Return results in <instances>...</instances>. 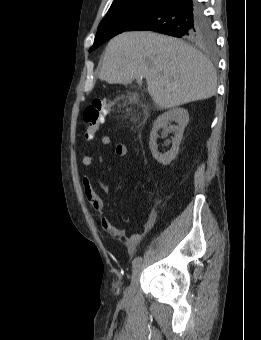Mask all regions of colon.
<instances>
[{
    "mask_svg": "<svg viewBox=\"0 0 261 340\" xmlns=\"http://www.w3.org/2000/svg\"><path fill=\"white\" fill-rule=\"evenodd\" d=\"M110 107V104L107 102L98 100L84 109L85 136L88 140L94 137L105 115L109 112Z\"/></svg>",
    "mask_w": 261,
    "mask_h": 340,
    "instance_id": "1",
    "label": "colon"
}]
</instances>
